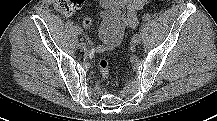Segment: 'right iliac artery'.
<instances>
[{"label": "right iliac artery", "instance_id": "obj_1", "mask_svg": "<svg viewBox=\"0 0 217 121\" xmlns=\"http://www.w3.org/2000/svg\"><path fill=\"white\" fill-rule=\"evenodd\" d=\"M82 29L80 28V27H75V33L77 34V35H82Z\"/></svg>", "mask_w": 217, "mask_h": 121}]
</instances>
